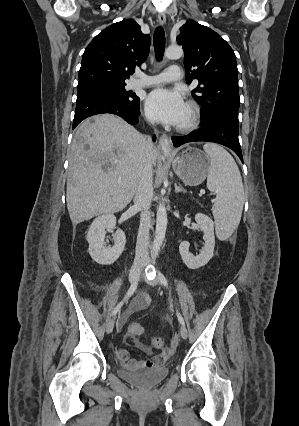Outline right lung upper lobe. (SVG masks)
<instances>
[{
  "instance_id": "1",
  "label": "right lung upper lobe",
  "mask_w": 299,
  "mask_h": 426,
  "mask_svg": "<svg viewBox=\"0 0 299 426\" xmlns=\"http://www.w3.org/2000/svg\"><path fill=\"white\" fill-rule=\"evenodd\" d=\"M150 36L133 19L112 24L101 31L84 51L78 86L125 84L147 58Z\"/></svg>"
}]
</instances>
